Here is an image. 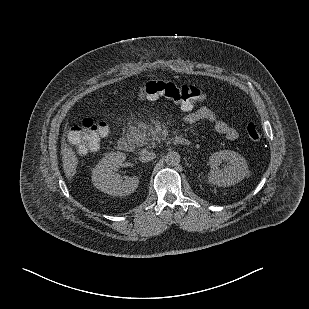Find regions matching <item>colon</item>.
Listing matches in <instances>:
<instances>
[{"label":"colon","instance_id":"colon-1","mask_svg":"<svg viewBox=\"0 0 309 309\" xmlns=\"http://www.w3.org/2000/svg\"><path fill=\"white\" fill-rule=\"evenodd\" d=\"M138 94L144 98L156 99L166 97L185 106L194 105L205 99V92L196 85H177L162 80H152L138 87ZM108 132L105 121H95L91 118L83 119L72 133V140L79 146L80 151L88 145L97 146L102 137ZM251 141L257 142L261 138L258 126L249 123L246 128Z\"/></svg>","mask_w":309,"mask_h":309}]
</instances>
